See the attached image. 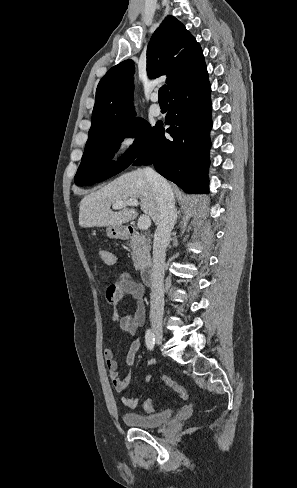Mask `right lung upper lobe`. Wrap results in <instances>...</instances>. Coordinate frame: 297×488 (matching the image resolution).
<instances>
[{
  "label": "right lung upper lobe",
  "mask_w": 297,
  "mask_h": 488,
  "mask_svg": "<svg viewBox=\"0 0 297 488\" xmlns=\"http://www.w3.org/2000/svg\"><path fill=\"white\" fill-rule=\"evenodd\" d=\"M150 78L167 75L169 98L184 86L207 74L200 45L173 16H168L154 32L147 48ZM134 62L125 60L112 67L96 90L89 137L133 121ZM134 118V119H133Z\"/></svg>",
  "instance_id": "right-lung-upper-lobe-1"
}]
</instances>
